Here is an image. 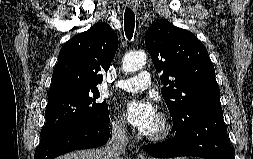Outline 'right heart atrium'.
<instances>
[{
    "mask_svg": "<svg viewBox=\"0 0 253 159\" xmlns=\"http://www.w3.org/2000/svg\"><path fill=\"white\" fill-rule=\"evenodd\" d=\"M110 125L112 128V131L117 135L122 136V135H125L127 132L125 121L118 116H115L114 118H112Z\"/></svg>",
    "mask_w": 253,
    "mask_h": 159,
    "instance_id": "d8ad5b80",
    "label": "right heart atrium"
}]
</instances>
